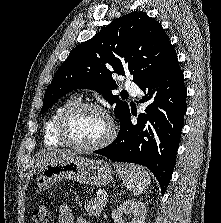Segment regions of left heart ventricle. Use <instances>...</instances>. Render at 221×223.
I'll use <instances>...</instances> for the list:
<instances>
[{
    "label": "left heart ventricle",
    "instance_id": "obj_1",
    "mask_svg": "<svg viewBox=\"0 0 221 223\" xmlns=\"http://www.w3.org/2000/svg\"><path fill=\"white\" fill-rule=\"evenodd\" d=\"M68 136L78 144L93 145L101 141L109 131L106 117L95 110L76 113L68 123Z\"/></svg>",
    "mask_w": 221,
    "mask_h": 223
}]
</instances>
